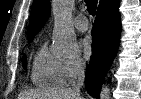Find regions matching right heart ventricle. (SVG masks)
<instances>
[{"mask_svg":"<svg viewBox=\"0 0 141 99\" xmlns=\"http://www.w3.org/2000/svg\"><path fill=\"white\" fill-rule=\"evenodd\" d=\"M63 59L53 54L46 43L36 52L31 69V80L37 87L56 89L64 85Z\"/></svg>","mask_w":141,"mask_h":99,"instance_id":"obj_1","label":"right heart ventricle"}]
</instances>
